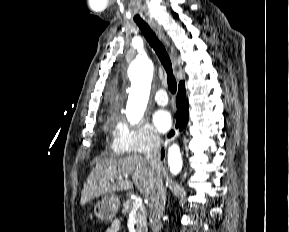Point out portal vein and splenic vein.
Here are the masks:
<instances>
[{"mask_svg": "<svg viewBox=\"0 0 289 232\" xmlns=\"http://www.w3.org/2000/svg\"><path fill=\"white\" fill-rule=\"evenodd\" d=\"M114 179H117V180H122L123 177L122 176H117L115 178H111V182H114ZM143 204V201L140 197H137L135 198L134 202H133V207H132V211H135L137 210L139 207H141Z\"/></svg>", "mask_w": 289, "mask_h": 232, "instance_id": "1", "label": "portal vein and splenic vein"}]
</instances>
